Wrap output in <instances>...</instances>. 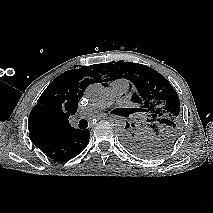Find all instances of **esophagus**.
Listing matches in <instances>:
<instances>
[{
	"label": "esophagus",
	"instance_id": "esophagus-1",
	"mask_svg": "<svg viewBox=\"0 0 213 213\" xmlns=\"http://www.w3.org/2000/svg\"><path fill=\"white\" fill-rule=\"evenodd\" d=\"M108 118L107 115H100L97 117V120Z\"/></svg>",
	"mask_w": 213,
	"mask_h": 213
}]
</instances>
